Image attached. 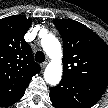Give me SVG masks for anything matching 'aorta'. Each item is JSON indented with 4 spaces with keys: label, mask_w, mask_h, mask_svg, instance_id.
<instances>
[{
    "label": "aorta",
    "mask_w": 108,
    "mask_h": 108,
    "mask_svg": "<svg viewBox=\"0 0 108 108\" xmlns=\"http://www.w3.org/2000/svg\"><path fill=\"white\" fill-rule=\"evenodd\" d=\"M41 45L47 56L51 59L44 71L46 83L55 86L62 78V48L59 40L51 33L41 39Z\"/></svg>",
    "instance_id": "aorta-1"
}]
</instances>
